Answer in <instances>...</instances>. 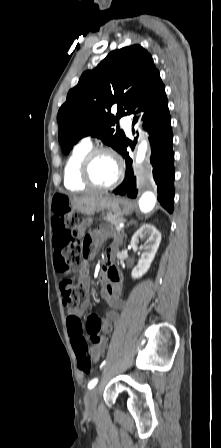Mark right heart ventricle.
Wrapping results in <instances>:
<instances>
[{
	"label": "right heart ventricle",
	"mask_w": 221,
	"mask_h": 448,
	"mask_svg": "<svg viewBox=\"0 0 221 448\" xmlns=\"http://www.w3.org/2000/svg\"><path fill=\"white\" fill-rule=\"evenodd\" d=\"M91 149V145L81 142L76 145L68 156L64 167V185L70 190H82L88 186L79 177V164L82 157Z\"/></svg>",
	"instance_id": "e07e8e85"
}]
</instances>
